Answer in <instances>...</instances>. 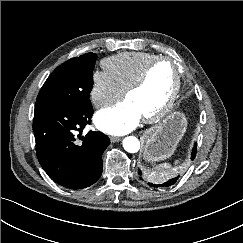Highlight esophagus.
<instances>
[{"instance_id": "esophagus-1", "label": "esophagus", "mask_w": 243, "mask_h": 243, "mask_svg": "<svg viewBox=\"0 0 243 243\" xmlns=\"http://www.w3.org/2000/svg\"><path fill=\"white\" fill-rule=\"evenodd\" d=\"M110 140H111L112 143H116V142L121 141V137L111 136Z\"/></svg>"}]
</instances>
